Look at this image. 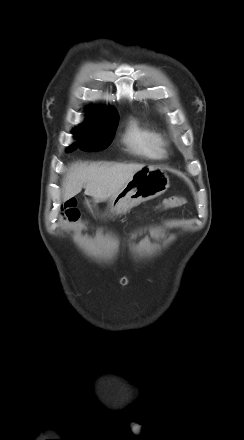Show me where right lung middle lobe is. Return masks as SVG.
<instances>
[{
	"instance_id": "dd1d6c3e",
	"label": "right lung middle lobe",
	"mask_w": 244,
	"mask_h": 440,
	"mask_svg": "<svg viewBox=\"0 0 244 440\" xmlns=\"http://www.w3.org/2000/svg\"><path fill=\"white\" fill-rule=\"evenodd\" d=\"M115 123L111 126H92L83 124L75 128L73 132L77 142L68 148V151H74L80 148L84 151H101L107 148L115 135L117 129Z\"/></svg>"
}]
</instances>
